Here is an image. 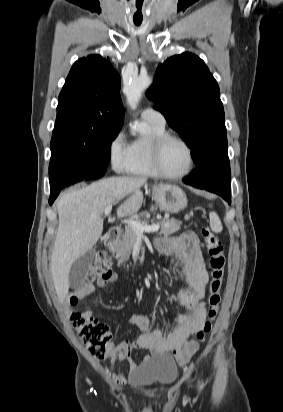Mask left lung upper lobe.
Masks as SVG:
<instances>
[{"label": "left lung upper lobe", "mask_w": 283, "mask_h": 412, "mask_svg": "<svg viewBox=\"0 0 283 412\" xmlns=\"http://www.w3.org/2000/svg\"><path fill=\"white\" fill-rule=\"evenodd\" d=\"M147 96L192 149L196 164L210 161L217 149L228 158L220 90L198 56L187 52L160 64Z\"/></svg>", "instance_id": "5c2ea615"}]
</instances>
